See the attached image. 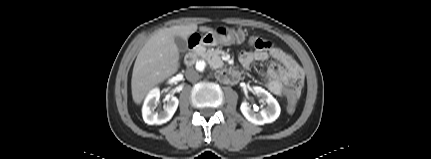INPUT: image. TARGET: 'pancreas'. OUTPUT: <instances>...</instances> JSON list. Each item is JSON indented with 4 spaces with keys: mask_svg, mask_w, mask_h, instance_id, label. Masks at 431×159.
Instances as JSON below:
<instances>
[{
    "mask_svg": "<svg viewBox=\"0 0 431 159\" xmlns=\"http://www.w3.org/2000/svg\"><path fill=\"white\" fill-rule=\"evenodd\" d=\"M221 50L217 49H207L199 51V55L207 61V63L213 67L218 68L222 66L223 62L220 58Z\"/></svg>",
    "mask_w": 431,
    "mask_h": 159,
    "instance_id": "cf45deb5",
    "label": "pancreas"
}]
</instances>
